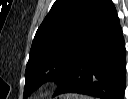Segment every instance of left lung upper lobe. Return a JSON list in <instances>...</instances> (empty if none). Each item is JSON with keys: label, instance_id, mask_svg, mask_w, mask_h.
Segmentation results:
<instances>
[{"label": "left lung upper lobe", "instance_id": "obj_1", "mask_svg": "<svg viewBox=\"0 0 128 99\" xmlns=\"http://www.w3.org/2000/svg\"><path fill=\"white\" fill-rule=\"evenodd\" d=\"M109 3L110 0H56L32 42L24 98L46 81L58 83Z\"/></svg>", "mask_w": 128, "mask_h": 99}]
</instances>
